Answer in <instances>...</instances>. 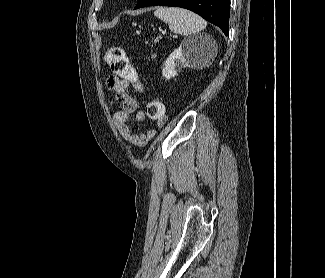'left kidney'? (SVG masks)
Returning <instances> with one entry per match:
<instances>
[{"label": "left kidney", "mask_w": 325, "mask_h": 278, "mask_svg": "<svg viewBox=\"0 0 325 278\" xmlns=\"http://www.w3.org/2000/svg\"><path fill=\"white\" fill-rule=\"evenodd\" d=\"M197 53V48L194 44L184 41L180 47L174 50L166 59L162 69V75L166 80L177 75L176 68L182 69L190 67L194 61V55Z\"/></svg>", "instance_id": "obj_1"}]
</instances>
